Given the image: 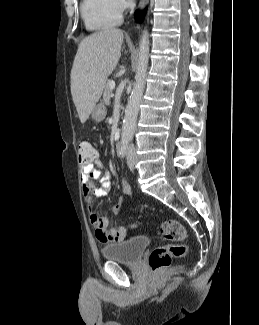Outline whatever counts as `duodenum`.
Here are the masks:
<instances>
[{"label":"duodenum","mask_w":259,"mask_h":325,"mask_svg":"<svg viewBox=\"0 0 259 325\" xmlns=\"http://www.w3.org/2000/svg\"><path fill=\"white\" fill-rule=\"evenodd\" d=\"M123 144H124V141L123 139H119L117 140L116 144H115V149H116V152L117 153H120L121 152V149L123 147Z\"/></svg>","instance_id":"obj_1"}]
</instances>
